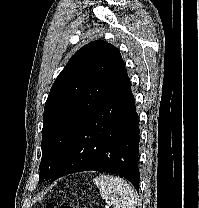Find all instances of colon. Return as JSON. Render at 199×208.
Returning <instances> with one entry per match:
<instances>
[{"instance_id":"5ec220e1","label":"colon","mask_w":199,"mask_h":208,"mask_svg":"<svg viewBox=\"0 0 199 208\" xmlns=\"http://www.w3.org/2000/svg\"><path fill=\"white\" fill-rule=\"evenodd\" d=\"M46 208H56V207L53 203H49L47 204ZM60 208H86V207H81L73 203H65Z\"/></svg>"}]
</instances>
